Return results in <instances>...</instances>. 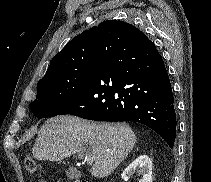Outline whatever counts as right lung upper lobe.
<instances>
[{"label":"right lung upper lobe","instance_id":"cb5924a9","mask_svg":"<svg viewBox=\"0 0 211 182\" xmlns=\"http://www.w3.org/2000/svg\"><path fill=\"white\" fill-rule=\"evenodd\" d=\"M114 24L123 26L127 35L134 43L139 44L145 39H148L139 29L131 24L122 21H104L69 41L67 45L53 57L45 76L41 80L52 77L62 71L74 70L78 67L93 63L97 40L102 30Z\"/></svg>","mask_w":211,"mask_h":182}]
</instances>
